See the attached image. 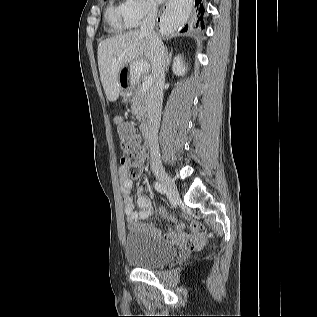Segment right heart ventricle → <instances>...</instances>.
Segmentation results:
<instances>
[{
    "label": "right heart ventricle",
    "instance_id": "obj_1",
    "mask_svg": "<svg viewBox=\"0 0 317 317\" xmlns=\"http://www.w3.org/2000/svg\"><path fill=\"white\" fill-rule=\"evenodd\" d=\"M105 17L108 25L114 32H122L131 28L124 14L123 3L111 2L106 9Z\"/></svg>",
    "mask_w": 317,
    "mask_h": 317
}]
</instances>
